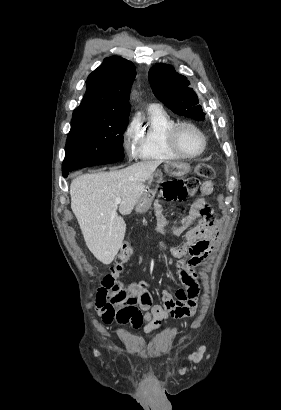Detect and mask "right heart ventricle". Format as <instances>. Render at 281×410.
Wrapping results in <instances>:
<instances>
[{
    "label": "right heart ventricle",
    "instance_id": "1",
    "mask_svg": "<svg viewBox=\"0 0 281 410\" xmlns=\"http://www.w3.org/2000/svg\"><path fill=\"white\" fill-rule=\"evenodd\" d=\"M177 121L161 106H150L147 116L139 122L136 155L147 161L180 159L169 146L168 132Z\"/></svg>",
    "mask_w": 281,
    "mask_h": 410
}]
</instances>
